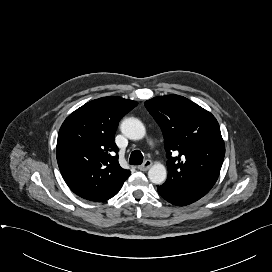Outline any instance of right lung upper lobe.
I'll list each match as a JSON object with an SVG mask.
<instances>
[{
    "label": "right lung upper lobe",
    "instance_id": "cb5924a9",
    "mask_svg": "<svg viewBox=\"0 0 272 272\" xmlns=\"http://www.w3.org/2000/svg\"><path fill=\"white\" fill-rule=\"evenodd\" d=\"M136 101L103 97L84 104L63 122L56 156L60 172L78 196L101 202L116 195L130 171L118 163L114 135L120 119Z\"/></svg>",
    "mask_w": 272,
    "mask_h": 272
}]
</instances>
